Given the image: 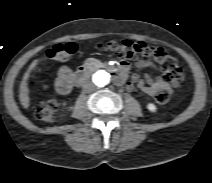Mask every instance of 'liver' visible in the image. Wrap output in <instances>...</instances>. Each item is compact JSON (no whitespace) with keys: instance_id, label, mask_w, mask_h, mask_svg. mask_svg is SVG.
<instances>
[{"instance_id":"1","label":"liver","mask_w":212,"mask_h":183,"mask_svg":"<svg viewBox=\"0 0 212 183\" xmlns=\"http://www.w3.org/2000/svg\"><path fill=\"white\" fill-rule=\"evenodd\" d=\"M38 59L34 60L31 65L29 66L28 70L24 74L23 80L20 84V102L24 108H28L30 106V98H29V88L27 80L29 79L31 71L36 67L38 64Z\"/></svg>"}]
</instances>
